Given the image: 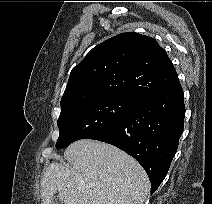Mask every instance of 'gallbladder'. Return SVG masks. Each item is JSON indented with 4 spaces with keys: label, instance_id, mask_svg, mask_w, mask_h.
<instances>
[{
    "label": "gallbladder",
    "instance_id": "gallbladder-1",
    "mask_svg": "<svg viewBox=\"0 0 212 204\" xmlns=\"http://www.w3.org/2000/svg\"><path fill=\"white\" fill-rule=\"evenodd\" d=\"M51 204H63V201H62V199H61L59 196H55V197L52 199Z\"/></svg>",
    "mask_w": 212,
    "mask_h": 204
}]
</instances>
